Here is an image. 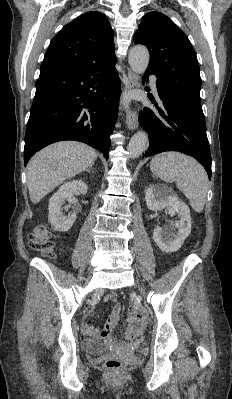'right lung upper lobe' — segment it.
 Listing matches in <instances>:
<instances>
[{
	"label": "right lung upper lobe",
	"mask_w": 232,
	"mask_h": 399,
	"mask_svg": "<svg viewBox=\"0 0 232 399\" xmlns=\"http://www.w3.org/2000/svg\"><path fill=\"white\" fill-rule=\"evenodd\" d=\"M114 33L104 14L87 12L52 39L41 70L78 69L115 60Z\"/></svg>",
	"instance_id": "1"
}]
</instances>
